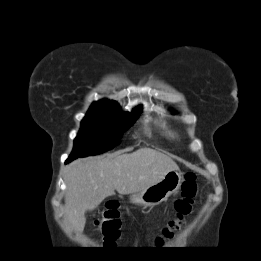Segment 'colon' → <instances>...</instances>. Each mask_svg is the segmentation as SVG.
I'll list each match as a JSON object with an SVG mask.
<instances>
[{"instance_id":"obj_1","label":"colon","mask_w":261,"mask_h":261,"mask_svg":"<svg viewBox=\"0 0 261 261\" xmlns=\"http://www.w3.org/2000/svg\"><path fill=\"white\" fill-rule=\"evenodd\" d=\"M198 193L196 177L192 173L185 175L181 187V196L175 201L174 209L176 216L162 230L156 239L157 244L163 243L180 228L183 219L193 210L194 199ZM98 233L101 235L106 246H114L120 236L121 220L118 207L114 204L108 205L95 221Z\"/></svg>"}]
</instances>
